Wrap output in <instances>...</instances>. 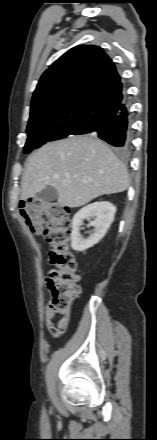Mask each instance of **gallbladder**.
<instances>
[{
  "instance_id": "bac80fb5",
  "label": "gallbladder",
  "mask_w": 157,
  "mask_h": 440,
  "mask_svg": "<svg viewBox=\"0 0 157 440\" xmlns=\"http://www.w3.org/2000/svg\"><path fill=\"white\" fill-rule=\"evenodd\" d=\"M38 197L43 202H52L57 199L58 193L53 187H47L38 193Z\"/></svg>"
}]
</instances>
